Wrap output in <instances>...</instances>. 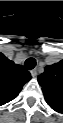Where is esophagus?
<instances>
[{"mask_svg":"<svg viewBox=\"0 0 63 123\" xmlns=\"http://www.w3.org/2000/svg\"><path fill=\"white\" fill-rule=\"evenodd\" d=\"M31 75L33 77L37 76V69L36 68L31 70Z\"/></svg>","mask_w":63,"mask_h":123,"instance_id":"esophagus-1","label":"esophagus"}]
</instances>
